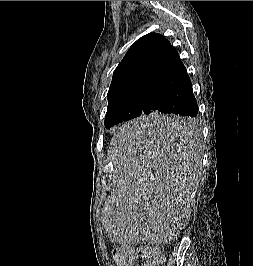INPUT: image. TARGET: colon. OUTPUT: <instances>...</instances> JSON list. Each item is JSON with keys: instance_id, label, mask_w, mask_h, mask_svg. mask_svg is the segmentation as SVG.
<instances>
[{"instance_id": "5ec220e1", "label": "colon", "mask_w": 253, "mask_h": 266, "mask_svg": "<svg viewBox=\"0 0 253 266\" xmlns=\"http://www.w3.org/2000/svg\"><path fill=\"white\" fill-rule=\"evenodd\" d=\"M113 258L118 266H128L137 258L140 259L139 266H156L163 262L158 248H116Z\"/></svg>"}]
</instances>
